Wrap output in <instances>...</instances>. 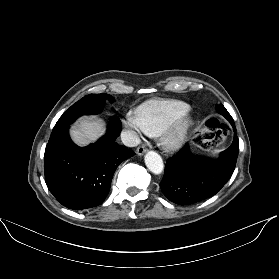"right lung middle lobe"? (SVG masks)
Masks as SVG:
<instances>
[{
	"label": "right lung middle lobe",
	"mask_w": 279,
	"mask_h": 279,
	"mask_svg": "<svg viewBox=\"0 0 279 279\" xmlns=\"http://www.w3.org/2000/svg\"><path fill=\"white\" fill-rule=\"evenodd\" d=\"M106 99H109L110 102L114 101V98L110 95H107L106 93L90 94L88 96L83 97L81 100L73 104L60 117L55 127L71 124L76 118H78L81 115L100 113L103 109Z\"/></svg>",
	"instance_id": "obj_1"
}]
</instances>
